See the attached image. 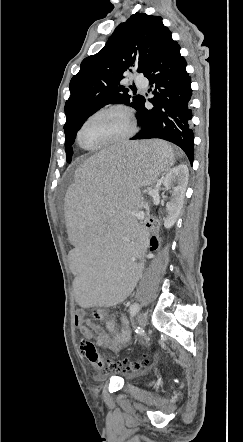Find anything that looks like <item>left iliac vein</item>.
Here are the masks:
<instances>
[{
	"label": "left iliac vein",
	"instance_id": "1",
	"mask_svg": "<svg viewBox=\"0 0 243 442\" xmlns=\"http://www.w3.org/2000/svg\"><path fill=\"white\" fill-rule=\"evenodd\" d=\"M137 323L142 330L145 329L147 324V314L144 312H140L137 316Z\"/></svg>",
	"mask_w": 243,
	"mask_h": 442
}]
</instances>
